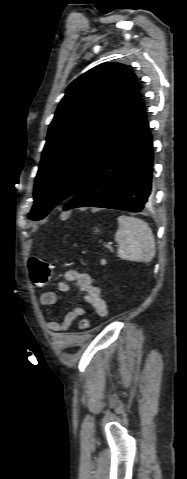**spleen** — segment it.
<instances>
[{"label": "spleen", "mask_w": 187, "mask_h": 479, "mask_svg": "<svg viewBox=\"0 0 187 479\" xmlns=\"http://www.w3.org/2000/svg\"><path fill=\"white\" fill-rule=\"evenodd\" d=\"M115 241L121 259L149 263L156 253L155 240L149 225L135 217L122 215L117 219Z\"/></svg>", "instance_id": "spleen-1"}]
</instances>
